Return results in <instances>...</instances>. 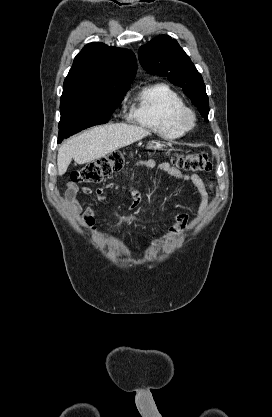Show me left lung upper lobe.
<instances>
[{
    "mask_svg": "<svg viewBox=\"0 0 272 417\" xmlns=\"http://www.w3.org/2000/svg\"><path fill=\"white\" fill-rule=\"evenodd\" d=\"M138 55L146 71L166 76L172 84L181 87L208 121L209 102L202 76L175 39L157 36L141 46Z\"/></svg>",
    "mask_w": 272,
    "mask_h": 417,
    "instance_id": "obj_1",
    "label": "left lung upper lobe"
}]
</instances>
